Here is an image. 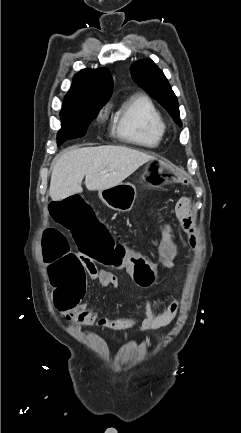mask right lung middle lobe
<instances>
[{
  "label": "right lung middle lobe",
  "instance_id": "obj_1",
  "mask_svg": "<svg viewBox=\"0 0 241 433\" xmlns=\"http://www.w3.org/2000/svg\"><path fill=\"white\" fill-rule=\"evenodd\" d=\"M104 105L105 103L95 102L63 104V109L60 112L61 129L57 135L58 145L68 139L84 136L89 123Z\"/></svg>",
  "mask_w": 241,
  "mask_h": 433
}]
</instances>
